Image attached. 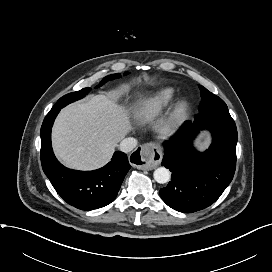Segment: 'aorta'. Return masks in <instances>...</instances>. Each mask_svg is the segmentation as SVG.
Listing matches in <instances>:
<instances>
[{"mask_svg": "<svg viewBox=\"0 0 272 272\" xmlns=\"http://www.w3.org/2000/svg\"><path fill=\"white\" fill-rule=\"evenodd\" d=\"M154 179L160 184L167 183L170 180V171L165 167H159L154 171Z\"/></svg>", "mask_w": 272, "mask_h": 272, "instance_id": "762f6f07", "label": "aorta"}]
</instances>
